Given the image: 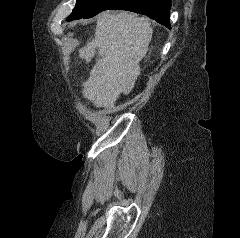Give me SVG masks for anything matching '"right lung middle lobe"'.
I'll return each instance as SVG.
<instances>
[{"label":"right lung middle lobe","instance_id":"dd1d6c3e","mask_svg":"<svg viewBox=\"0 0 240 238\" xmlns=\"http://www.w3.org/2000/svg\"><path fill=\"white\" fill-rule=\"evenodd\" d=\"M119 0H77L75 8L68 21L80 18H91L101 11L110 9V7Z\"/></svg>","mask_w":240,"mask_h":238}]
</instances>
